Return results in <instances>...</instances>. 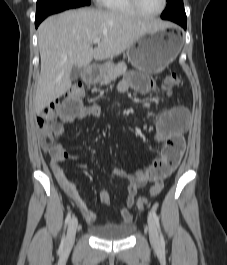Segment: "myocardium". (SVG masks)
Returning a JSON list of instances; mask_svg holds the SVG:
<instances>
[{"label": "myocardium", "mask_w": 227, "mask_h": 265, "mask_svg": "<svg viewBox=\"0 0 227 265\" xmlns=\"http://www.w3.org/2000/svg\"><path fill=\"white\" fill-rule=\"evenodd\" d=\"M129 1H130L131 6L138 13V15H141V16L147 17V18H152V17H156V16L160 15L165 10L166 5H167V0H162L161 8L155 13L148 14V13H145L142 11V9L139 6L138 0H129Z\"/></svg>", "instance_id": "f54148a6"}]
</instances>
